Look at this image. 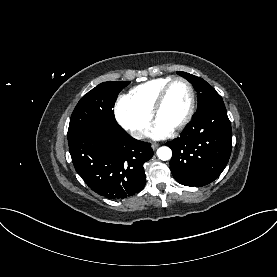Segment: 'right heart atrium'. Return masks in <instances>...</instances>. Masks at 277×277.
I'll list each match as a JSON object with an SVG mask.
<instances>
[{
    "mask_svg": "<svg viewBox=\"0 0 277 277\" xmlns=\"http://www.w3.org/2000/svg\"><path fill=\"white\" fill-rule=\"evenodd\" d=\"M118 124L133 138L142 139L151 123V116L140 111L127 96L120 97L114 108Z\"/></svg>",
    "mask_w": 277,
    "mask_h": 277,
    "instance_id": "d8ad5b80",
    "label": "right heart atrium"
}]
</instances>
